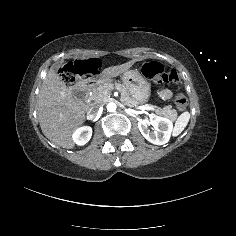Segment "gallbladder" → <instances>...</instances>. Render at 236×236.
<instances>
[{"label":"gallbladder","instance_id":"1","mask_svg":"<svg viewBox=\"0 0 236 236\" xmlns=\"http://www.w3.org/2000/svg\"><path fill=\"white\" fill-rule=\"evenodd\" d=\"M63 64H64V63L61 62V61L55 63L54 66H53V67H54V71H57L59 68H61V67L63 66Z\"/></svg>","mask_w":236,"mask_h":236}]
</instances>
